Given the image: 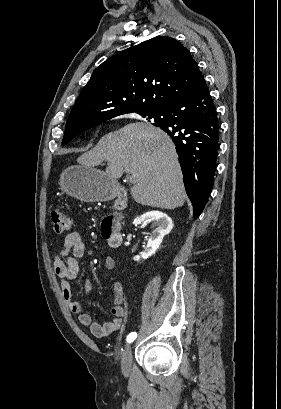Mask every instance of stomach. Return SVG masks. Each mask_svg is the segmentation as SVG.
Segmentation results:
<instances>
[{"label": "stomach", "mask_w": 281, "mask_h": 409, "mask_svg": "<svg viewBox=\"0 0 281 409\" xmlns=\"http://www.w3.org/2000/svg\"><path fill=\"white\" fill-rule=\"evenodd\" d=\"M59 184L70 196L83 202H103L112 200L120 190L118 180H111L103 170L74 164L60 174Z\"/></svg>", "instance_id": "1"}]
</instances>
